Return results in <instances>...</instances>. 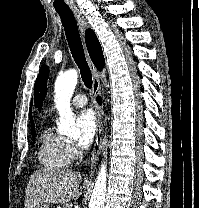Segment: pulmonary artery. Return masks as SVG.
Instances as JSON below:
<instances>
[{
    "label": "pulmonary artery",
    "instance_id": "pulmonary-artery-1",
    "mask_svg": "<svg viewBox=\"0 0 199 208\" xmlns=\"http://www.w3.org/2000/svg\"><path fill=\"white\" fill-rule=\"evenodd\" d=\"M87 97L83 94H76L71 101V105L74 107H84L87 104Z\"/></svg>",
    "mask_w": 199,
    "mask_h": 208
}]
</instances>
